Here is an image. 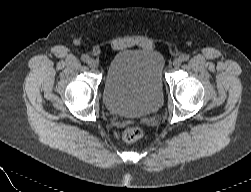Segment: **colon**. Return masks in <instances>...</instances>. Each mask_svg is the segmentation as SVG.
<instances>
[{
    "label": "colon",
    "mask_w": 251,
    "mask_h": 192,
    "mask_svg": "<svg viewBox=\"0 0 251 192\" xmlns=\"http://www.w3.org/2000/svg\"><path fill=\"white\" fill-rule=\"evenodd\" d=\"M123 139L127 143H133L139 140L143 136L142 129L137 125L127 127L123 131Z\"/></svg>",
    "instance_id": "1"
}]
</instances>
